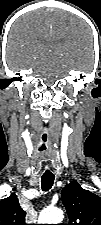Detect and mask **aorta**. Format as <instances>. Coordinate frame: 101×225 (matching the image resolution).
<instances>
[{"label": "aorta", "mask_w": 101, "mask_h": 225, "mask_svg": "<svg viewBox=\"0 0 101 225\" xmlns=\"http://www.w3.org/2000/svg\"><path fill=\"white\" fill-rule=\"evenodd\" d=\"M64 214L60 208L52 207L44 209L39 216V224H59Z\"/></svg>", "instance_id": "1"}]
</instances>
